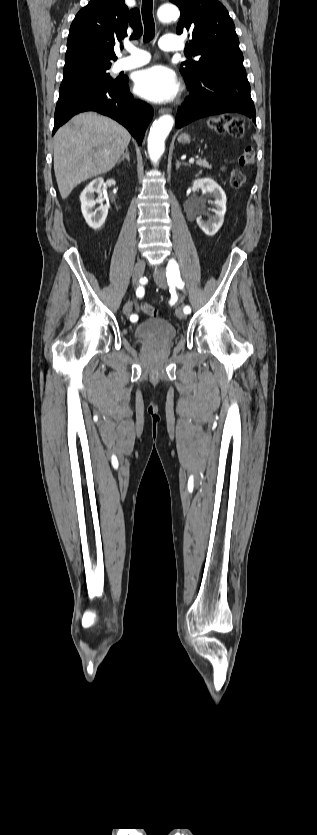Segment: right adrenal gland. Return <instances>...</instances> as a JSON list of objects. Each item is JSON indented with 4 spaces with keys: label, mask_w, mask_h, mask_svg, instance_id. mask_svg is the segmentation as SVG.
<instances>
[{
    "label": "right adrenal gland",
    "mask_w": 317,
    "mask_h": 835,
    "mask_svg": "<svg viewBox=\"0 0 317 835\" xmlns=\"http://www.w3.org/2000/svg\"><path fill=\"white\" fill-rule=\"evenodd\" d=\"M124 159H126L127 161H130V156H129L128 148H126L125 153H124V154L122 155V157L119 159L118 164H120V163H121Z\"/></svg>",
    "instance_id": "1"
}]
</instances>
